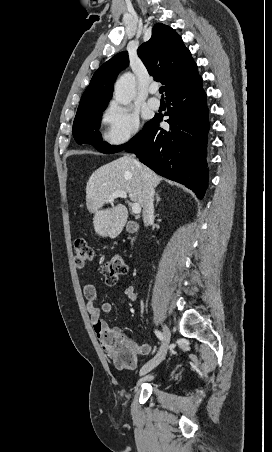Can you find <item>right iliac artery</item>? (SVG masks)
<instances>
[{
	"instance_id": "1",
	"label": "right iliac artery",
	"mask_w": 272,
	"mask_h": 452,
	"mask_svg": "<svg viewBox=\"0 0 272 452\" xmlns=\"http://www.w3.org/2000/svg\"><path fill=\"white\" fill-rule=\"evenodd\" d=\"M156 336L162 341L163 340V334L159 330H155Z\"/></svg>"
}]
</instances>
